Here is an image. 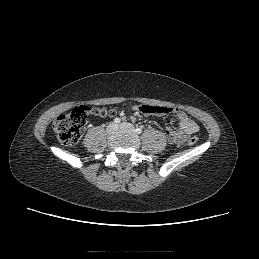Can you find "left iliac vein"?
<instances>
[{
  "mask_svg": "<svg viewBox=\"0 0 259 259\" xmlns=\"http://www.w3.org/2000/svg\"><path fill=\"white\" fill-rule=\"evenodd\" d=\"M119 127H120V129H123V130H128V131H131V132H136L135 127L131 123H128V122L121 123Z\"/></svg>",
  "mask_w": 259,
  "mask_h": 259,
  "instance_id": "obj_1",
  "label": "left iliac vein"
}]
</instances>
